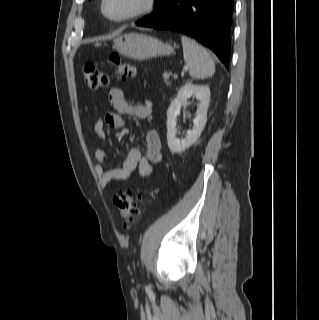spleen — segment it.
<instances>
[{"instance_id":"obj_1","label":"spleen","mask_w":319,"mask_h":320,"mask_svg":"<svg viewBox=\"0 0 319 320\" xmlns=\"http://www.w3.org/2000/svg\"><path fill=\"white\" fill-rule=\"evenodd\" d=\"M183 57L189 65V74L193 78H207L214 74L215 64L209 53L195 40L181 37Z\"/></svg>"}]
</instances>
